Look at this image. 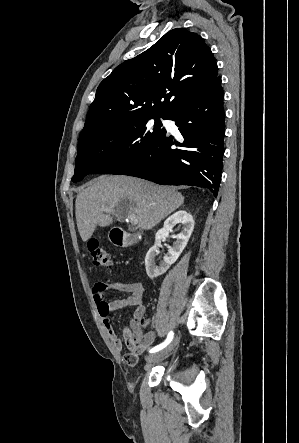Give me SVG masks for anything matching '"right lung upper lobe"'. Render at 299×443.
I'll use <instances>...</instances> for the list:
<instances>
[{"label": "right lung upper lobe", "mask_w": 299, "mask_h": 443, "mask_svg": "<svg viewBox=\"0 0 299 443\" xmlns=\"http://www.w3.org/2000/svg\"><path fill=\"white\" fill-rule=\"evenodd\" d=\"M217 77L216 60L204 39L173 29L100 83L80 138L114 123L164 117Z\"/></svg>", "instance_id": "cb5924a9"}]
</instances>
